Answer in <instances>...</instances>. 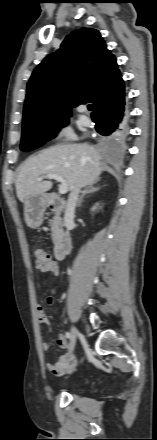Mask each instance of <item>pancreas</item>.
Segmentation results:
<instances>
[{
    "mask_svg": "<svg viewBox=\"0 0 157 440\" xmlns=\"http://www.w3.org/2000/svg\"><path fill=\"white\" fill-rule=\"evenodd\" d=\"M62 220L58 213H55L51 221V235L53 242H56L62 232Z\"/></svg>",
    "mask_w": 157,
    "mask_h": 440,
    "instance_id": "obj_1",
    "label": "pancreas"
}]
</instances>
